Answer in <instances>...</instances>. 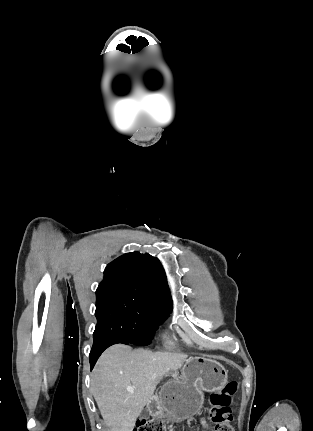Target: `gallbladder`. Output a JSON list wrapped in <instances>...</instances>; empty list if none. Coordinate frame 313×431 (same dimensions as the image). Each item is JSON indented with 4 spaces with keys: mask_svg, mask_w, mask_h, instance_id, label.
<instances>
[{
    "mask_svg": "<svg viewBox=\"0 0 313 431\" xmlns=\"http://www.w3.org/2000/svg\"><path fill=\"white\" fill-rule=\"evenodd\" d=\"M147 415H148V411L144 410V416H147Z\"/></svg>",
    "mask_w": 313,
    "mask_h": 431,
    "instance_id": "gallbladder-1",
    "label": "gallbladder"
}]
</instances>
